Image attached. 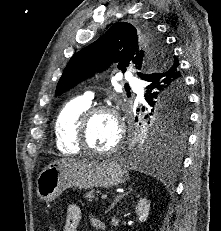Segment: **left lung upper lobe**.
<instances>
[{
  "instance_id": "5c2ea615",
  "label": "left lung upper lobe",
  "mask_w": 221,
  "mask_h": 231,
  "mask_svg": "<svg viewBox=\"0 0 221 231\" xmlns=\"http://www.w3.org/2000/svg\"><path fill=\"white\" fill-rule=\"evenodd\" d=\"M168 55L163 39L151 25L135 27L127 22H117L98 40L71 57L58 82L56 94L102 71L113 62H119L118 68L123 72L130 61L139 70H149L155 65L161 69L170 60ZM145 75L139 73L141 78ZM173 97L177 98L175 105L166 110L161 108L159 100L148 103L151 116L148 136H159L168 142L185 140L183 128L188 119V99L184 88L174 90Z\"/></svg>"
}]
</instances>
